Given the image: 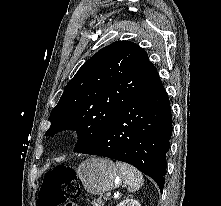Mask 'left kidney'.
I'll return each instance as SVG.
<instances>
[{"instance_id":"left-kidney-1","label":"left kidney","mask_w":221,"mask_h":206,"mask_svg":"<svg viewBox=\"0 0 221 206\" xmlns=\"http://www.w3.org/2000/svg\"><path fill=\"white\" fill-rule=\"evenodd\" d=\"M117 206H141L135 199H125L121 201Z\"/></svg>"}]
</instances>
